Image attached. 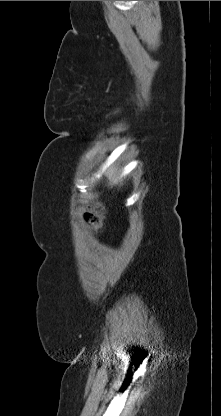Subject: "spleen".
<instances>
[{"mask_svg":"<svg viewBox=\"0 0 221 416\" xmlns=\"http://www.w3.org/2000/svg\"><path fill=\"white\" fill-rule=\"evenodd\" d=\"M106 175H107V177L109 178V179H111L112 178V176H113V169H108L107 170V172H106Z\"/></svg>","mask_w":221,"mask_h":416,"instance_id":"spleen-1","label":"spleen"}]
</instances>
